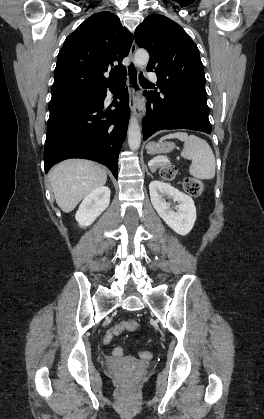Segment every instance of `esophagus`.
Wrapping results in <instances>:
<instances>
[{
	"instance_id": "obj_1",
	"label": "esophagus",
	"mask_w": 264,
	"mask_h": 419,
	"mask_svg": "<svg viewBox=\"0 0 264 419\" xmlns=\"http://www.w3.org/2000/svg\"><path fill=\"white\" fill-rule=\"evenodd\" d=\"M136 47H137L136 42L133 41L130 48V52H129L130 62L127 66V78H128L127 85H128V89L130 93V107L137 114V117L139 118V120H141L143 117V111L141 107L136 103V99H135L136 94L139 92V89H140L139 83H138L139 69L134 61V53L136 51Z\"/></svg>"
}]
</instances>
